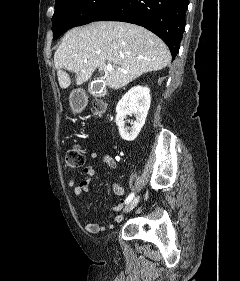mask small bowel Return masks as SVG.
I'll return each instance as SVG.
<instances>
[{
	"instance_id": "c3829d8e",
	"label": "small bowel",
	"mask_w": 240,
	"mask_h": 281,
	"mask_svg": "<svg viewBox=\"0 0 240 281\" xmlns=\"http://www.w3.org/2000/svg\"><path fill=\"white\" fill-rule=\"evenodd\" d=\"M101 157L103 162L111 169H114L117 167V162L114 158H112L108 154H99L96 151H92L89 153V159L90 160H96L97 158ZM82 173L85 175V178L82 179L80 182H77L75 179H70L67 183L68 187L73 191L74 195L76 197H80L82 193L88 192L90 190V183L92 177L95 175V170L91 166H86L83 170ZM113 191L116 195L122 196L125 193V190L123 187L120 185L118 181H114L113 183ZM123 207V201L120 203L113 205L111 207V210L113 212H119ZM115 221L120 222L122 220L121 216H116L114 218ZM85 230L88 231L89 233H100L109 229L113 228V224H107V225H101L98 223H86L84 226Z\"/></svg>"
}]
</instances>
